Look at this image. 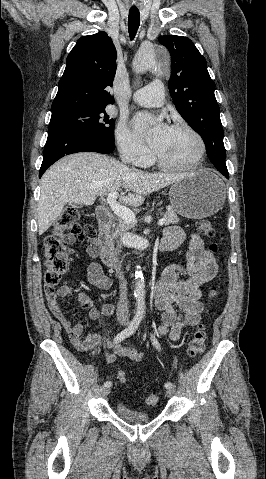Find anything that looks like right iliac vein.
<instances>
[{
	"label": "right iliac vein",
	"mask_w": 266,
	"mask_h": 479,
	"mask_svg": "<svg viewBox=\"0 0 266 479\" xmlns=\"http://www.w3.org/2000/svg\"><path fill=\"white\" fill-rule=\"evenodd\" d=\"M102 396H107L110 393V387L103 386L100 389Z\"/></svg>",
	"instance_id": "1"
}]
</instances>
